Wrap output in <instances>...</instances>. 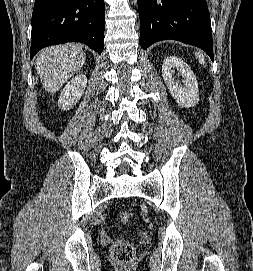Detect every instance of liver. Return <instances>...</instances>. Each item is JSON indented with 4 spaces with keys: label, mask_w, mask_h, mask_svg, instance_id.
<instances>
[{
    "label": "liver",
    "mask_w": 253,
    "mask_h": 271,
    "mask_svg": "<svg viewBox=\"0 0 253 271\" xmlns=\"http://www.w3.org/2000/svg\"><path fill=\"white\" fill-rule=\"evenodd\" d=\"M85 53L78 44L43 49L36 57V70L46 91H58L85 64Z\"/></svg>",
    "instance_id": "6515ba94"
}]
</instances>
